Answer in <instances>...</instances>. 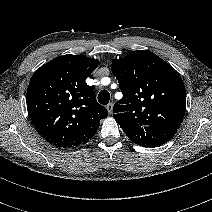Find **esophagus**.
Returning <instances> with one entry per match:
<instances>
[{"label": "esophagus", "instance_id": "esophagus-1", "mask_svg": "<svg viewBox=\"0 0 212 212\" xmlns=\"http://www.w3.org/2000/svg\"><path fill=\"white\" fill-rule=\"evenodd\" d=\"M106 109H107V111L109 112V114H111L112 111H113V103H109V104L106 106Z\"/></svg>", "mask_w": 212, "mask_h": 212}]
</instances>
